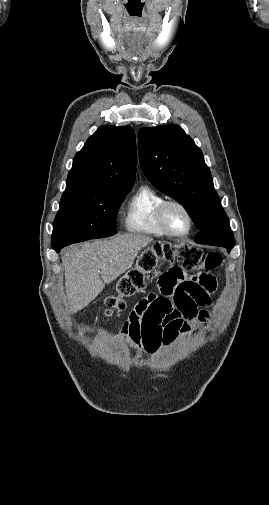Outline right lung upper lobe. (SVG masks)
I'll list each match as a JSON object with an SVG mask.
<instances>
[{
    "label": "right lung upper lobe",
    "instance_id": "obj_1",
    "mask_svg": "<svg viewBox=\"0 0 269 505\" xmlns=\"http://www.w3.org/2000/svg\"><path fill=\"white\" fill-rule=\"evenodd\" d=\"M137 164L135 133L129 126H101L76 153L66 190L130 191Z\"/></svg>",
    "mask_w": 269,
    "mask_h": 505
}]
</instances>
